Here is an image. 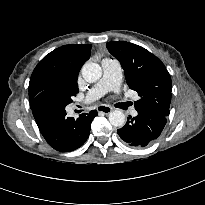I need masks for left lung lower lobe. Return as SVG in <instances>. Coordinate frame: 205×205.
Wrapping results in <instances>:
<instances>
[{
    "instance_id": "1",
    "label": "left lung lower lobe",
    "mask_w": 205,
    "mask_h": 205,
    "mask_svg": "<svg viewBox=\"0 0 205 205\" xmlns=\"http://www.w3.org/2000/svg\"><path fill=\"white\" fill-rule=\"evenodd\" d=\"M138 115L130 116L124 127L117 130L120 138L130 146L145 147L158 138L166 125V116L137 110Z\"/></svg>"
}]
</instances>
